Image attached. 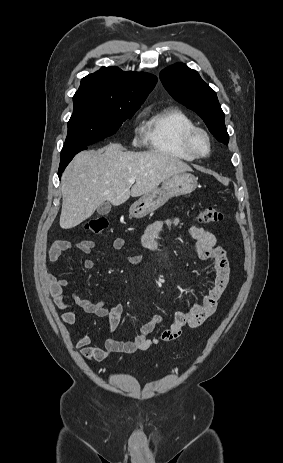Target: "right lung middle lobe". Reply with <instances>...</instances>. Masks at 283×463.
<instances>
[{
  "label": "right lung middle lobe",
  "instance_id": "obj_1",
  "mask_svg": "<svg viewBox=\"0 0 283 463\" xmlns=\"http://www.w3.org/2000/svg\"><path fill=\"white\" fill-rule=\"evenodd\" d=\"M73 114L61 153L87 147L114 134L142 103L74 95Z\"/></svg>",
  "mask_w": 283,
  "mask_h": 463
}]
</instances>
